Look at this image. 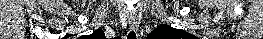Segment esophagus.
Instances as JSON below:
<instances>
[{
	"label": "esophagus",
	"mask_w": 263,
	"mask_h": 39,
	"mask_svg": "<svg viewBox=\"0 0 263 39\" xmlns=\"http://www.w3.org/2000/svg\"><path fill=\"white\" fill-rule=\"evenodd\" d=\"M128 22H129L130 27H131L133 30H135V31L138 30L139 24H138V20H137L136 18L130 17V18L128 19Z\"/></svg>",
	"instance_id": "esophagus-1"
}]
</instances>
